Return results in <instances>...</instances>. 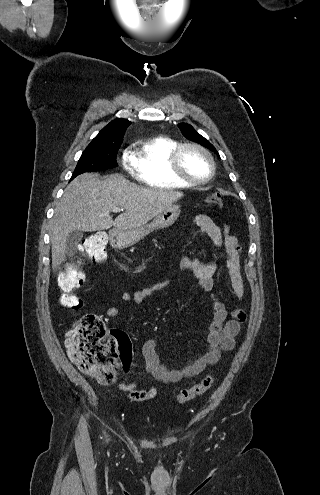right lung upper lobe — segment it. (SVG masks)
I'll list each match as a JSON object with an SVG mask.
<instances>
[{
    "label": "right lung upper lobe",
    "instance_id": "1",
    "mask_svg": "<svg viewBox=\"0 0 320 495\" xmlns=\"http://www.w3.org/2000/svg\"><path fill=\"white\" fill-rule=\"evenodd\" d=\"M129 124L130 122L126 119H115L111 121L88 146L121 145Z\"/></svg>",
    "mask_w": 320,
    "mask_h": 495
}]
</instances>
